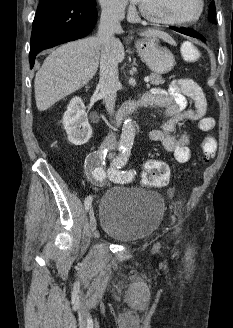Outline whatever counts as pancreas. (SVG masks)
<instances>
[{
  "label": "pancreas",
  "instance_id": "cf45deb5",
  "mask_svg": "<svg viewBox=\"0 0 233 328\" xmlns=\"http://www.w3.org/2000/svg\"><path fill=\"white\" fill-rule=\"evenodd\" d=\"M149 78H150V83L155 86L161 85L165 82V80L157 73H151L149 75Z\"/></svg>",
  "mask_w": 233,
  "mask_h": 328
}]
</instances>
